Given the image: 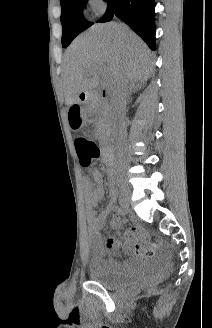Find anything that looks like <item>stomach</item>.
Instances as JSON below:
<instances>
[{
    "mask_svg": "<svg viewBox=\"0 0 212 328\" xmlns=\"http://www.w3.org/2000/svg\"><path fill=\"white\" fill-rule=\"evenodd\" d=\"M82 106L80 102H69L66 109V116L68 121V128H76L74 129V134H79V129L82 124H85V117H82L81 114Z\"/></svg>",
    "mask_w": 212,
    "mask_h": 328,
    "instance_id": "stomach-1",
    "label": "stomach"
}]
</instances>
